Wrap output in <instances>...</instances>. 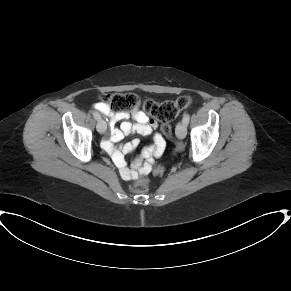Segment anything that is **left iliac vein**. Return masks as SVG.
I'll list each match as a JSON object with an SVG mask.
<instances>
[{
	"label": "left iliac vein",
	"mask_w": 291,
	"mask_h": 291,
	"mask_svg": "<svg viewBox=\"0 0 291 291\" xmlns=\"http://www.w3.org/2000/svg\"><path fill=\"white\" fill-rule=\"evenodd\" d=\"M186 125L183 122H180L176 126V136L179 139H184L186 137Z\"/></svg>",
	"instance_id": "left-iliac-vein-1"
}]
</instances>
